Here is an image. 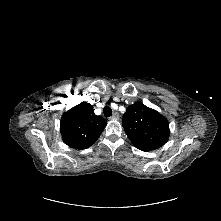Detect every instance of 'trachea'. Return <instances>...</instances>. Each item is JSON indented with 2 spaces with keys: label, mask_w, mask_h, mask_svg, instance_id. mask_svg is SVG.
Masks as SVG:
<instances>
[{
  "label": "trachea",
  "mask_w": 221,
  "mask_h": 221,
  "mask_svg": "<svg viewBox=\"0 0 221 221\" xmlns=\"http://www.w3.org/2000/svg\"><path fill=\"white\" fill-rule=\"evenodd\" d=\"M103 113L106 117H110L112 115V109L109 106H105Z\"/></svg>",
  "instance_id": "trachea-1"
}]
</instances>
